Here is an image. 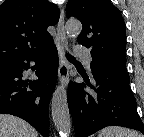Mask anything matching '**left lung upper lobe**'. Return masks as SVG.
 I'll use <instances>...</instances> for the list:
<instances>
[{
	"label": "left lung upper lobe",
	"instance_id": "1",
	"mask_svg": "<svg viewBox=\"0 0 144 137\" xmlns=\"http://www.w3.org/2000/svg\"><path fill=\"white\" fill-rule=\"evenodd\" d=\"M66 16L77 17L83 26L78 43L91 49L92 63L128 75L125 22L109 0H69Z\"/></svg>",
	"mask_w": 144,
	"mask_h": 137
}]
</instances>
